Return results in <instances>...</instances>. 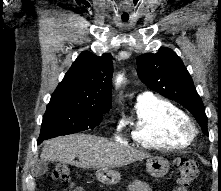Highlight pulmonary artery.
<instances>
[{"label":"pulmonary artery","mask_w":221,"mask_h":191,"mask_svg":"<svg viewBox=\"0 0 221 191\" xmlns=\"http://www.w3.org/2000/svg\"><path fill=\"white\" fill-rule=\"evenodd\" d=\"M153 95L151 92L149 91H146V92H143L141 94L138 95L137 97V100L140 101V100H146V99H149L151 98Z\"/></svg>","instance_id":"e3ab8cb5"}]
</instances>
